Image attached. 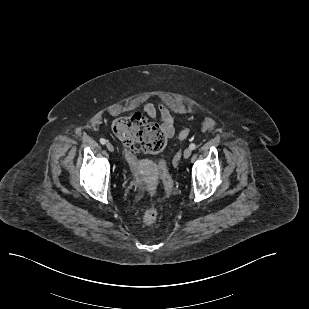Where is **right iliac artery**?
<instances>
[{"label": "right iliac artery", "instance_id": "1", "mask_svg": "<svg viewBox=\"0 0 309 309\" xmlns=\"http://www.w3.org/2000/svg\"><path fill=\"white\" fill-rule=\"evenodd\" d=\"M106 142H107V141H106L104 138H101V139H100V143H101V144L104 145V144H106Z\"/></svg>", "mask_w": 309, "mask_h": 309}]
</instances>
